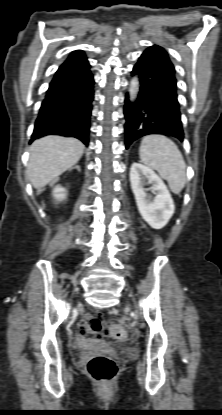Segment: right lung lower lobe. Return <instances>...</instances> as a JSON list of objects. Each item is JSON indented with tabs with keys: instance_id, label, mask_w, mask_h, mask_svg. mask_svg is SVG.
Masks as SVG:
<instances>
[{
	"instance_id": "98d812e1",
	"label": "right lung lower lobe",
	"mask_w": 222,
	"mask_h": 415,
	"mask_svg": "<svg viewBox=\"0 0 222 415\" xmlns=\"http://www.w3.org/2000/svg\"><path fill=\"white\" fill-rule=\"evenodd\" d=\"M94 79L83 51L72 52L55 73L35 122L31 141L51 134L88 145Z\"/></svg>"
}]
</instances>
